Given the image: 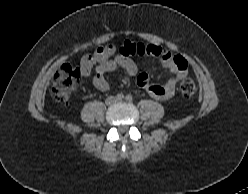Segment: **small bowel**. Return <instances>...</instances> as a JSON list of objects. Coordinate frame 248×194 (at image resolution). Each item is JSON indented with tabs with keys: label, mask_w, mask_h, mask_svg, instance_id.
I'll return each instance as SVG.
<instances>
[{
	"label": "small bowel",
	"mask_w": 248,
	"mask_h": 194,
	"mask_svg": "<svg viewBox=\"0 0 248 194\" xmlns=\"http://www.w3.org/2000/svg\"><path fill=\"white\" fill-rule=\"evenodd\" d=\"M138 43L127 41L119 51L113 45H106L97 48L92 54L82 57L80 71L83 77H89L92 70H95L93 77L94 86L100 91L109 89V83L105 79V73L117 69L124 70L130 76H137V84L153 98L168 100L175 94L176 87L180 80L187 74L188 64L181 56H174L160 46L154 44L145 45L144 55L158 58L163 66L171 74V78L164 85H153L149 76L145 73H138L136 63L130 56L137 55Z\"/></svg>",
	"instance_id": "small-bowel-1"
}]
</instances>
